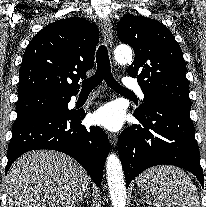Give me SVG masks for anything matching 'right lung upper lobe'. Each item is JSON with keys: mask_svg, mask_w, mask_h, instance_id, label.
I'll list each match as a JSON object with an SVG mask.
<instances>
[{"mask_svg": "<svg viewBox=\"0 0 206 207\" xmlns=\"http://www.w3.org/2000/svg\"><path fill=\"white\" fill-rule=\"evenodd\" d=\"M98 42V29L83 18L62 19L43 28L25 50L18 98L77 94L79 80L94 65Z\"/></svg>", "mask_w": 206, "mask_h": 207, "instance_id": "cb5924a9", "label": "right lung upper lobe"}]
</instances>
